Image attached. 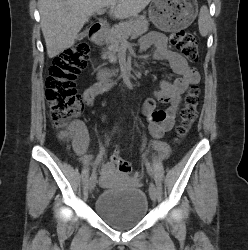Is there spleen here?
<instances>
[{
    "label": "spleen",
    "instance_id": "obj_1",
    "mask_svg": "<svg viewBox=\"0 0 248 250\" xmlns=\"http://www.w3.org/2000/svg\"><path fill=\"white\" fill-rule=\"evenodd\" d=\"M210 25V15L208 8L206 6H202L199 13L198 26L200 35L205 37L208 34Z\"/></svg>",
    "mask_w": 248,
    "mask_h": 250
}]
</instances>
